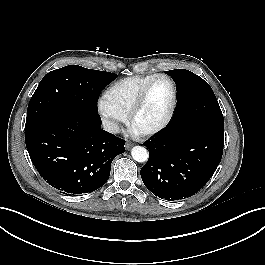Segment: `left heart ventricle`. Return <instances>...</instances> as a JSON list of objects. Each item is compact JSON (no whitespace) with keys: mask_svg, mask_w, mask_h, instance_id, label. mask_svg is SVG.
Instances as JSON below:
<instances>
[{"mask_svg":"<svg viewBox=\"0 0 265 265\" xmlns=\"http://www.w3.org/2000/svg\"><path fill=\"white\" fill-rule=\"evenodd\" d=\"M172 101V87L168 80L159 79L151 87L146 101L135 118L134 129L153 128L166 116Z\"/></svg>","mask_w":265,"mask_h":265,"instance_id":"left-heart-ventricle-1","label":"left heart ventricle"}]
</instances>
